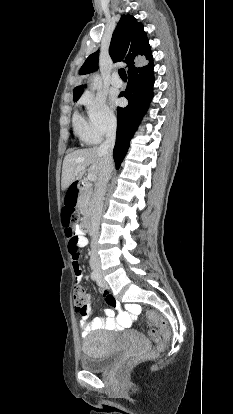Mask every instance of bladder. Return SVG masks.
I'll use <instances>...</instances> for the list:
<instances>
[{
    "mask_svg": "<svg viewBox=\"0 0 233 414\" xmlns=\"http://www.w3.org/2000/svg\"><path fill=\"white\" fill-rule=\"evenodd\" d=\"M138 342L146 347L143 336L134 333ZM83 355L80 358L81 369L98 373L108 370L120 355V349L115 346L111 334L96 331L86 336L82 345Z\"/></svg>",
    "mask_w": 233,
    "mask_h": 414,
    "instance_id": "bladder-1",
    "label": "bladder"
}]
</instances>
